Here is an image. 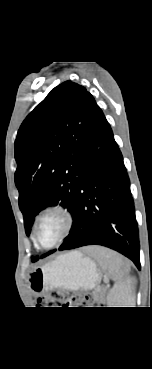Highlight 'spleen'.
<instances>
[{
    "label": "spleen",
    "instance_id": "1",
    "mask_svg": "<svg viewBox=\"0 0 152 369\" xmlns=\"http://www.w3.org/2000/svg\"><path fill=\"white\" fill-rule=\"evenodd\" d=\"M95 257L99 260L102 268L107 270L112 276L115 286L123 289L125 287L126 276L130 270L128 262L118 253L105 248H98Z\"/></svg>",
    "mask_w": 152,
    "mask_h": 369
}]
</instances>
